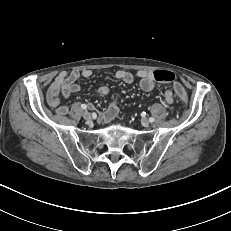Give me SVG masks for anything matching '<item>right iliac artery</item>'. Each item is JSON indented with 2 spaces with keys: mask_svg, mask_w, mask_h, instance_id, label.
Wrapping results in <instances>:
<instances>
[{
  "mask_svg": "<svg viewBox=\"0 0 231 231\" xmlns=\"http://www.w3.org/2000/svg\"><path fill=\"white\" fill-rule=\"evenodd\" d=\"M81 108H82V109H86V108H87V105H86V104H82V105H81Z\"/></svg>",
  "mask_w": 231,
  "mask_h": 231,
  "instance_id": "82829eb1",
  "label": "right iliac artery"
}]
</instances>
